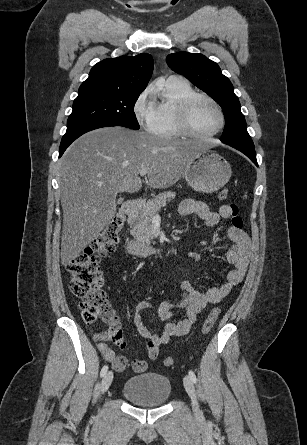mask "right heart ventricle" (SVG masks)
Instances as JSON below:
<instances>
[{"label": "right heart ventricle", "instance_id": "e07e8e85", "mask_svg": "<svg viewBox=\"0 0 307 445\" xmlns=\"http://www.w3.org/2000/svg\"><path fill=\"white\" fill-rule=\"evenodd\" d=\"M192 94L194 90L191 85L180 80H169L154 92L152 107L156 121L153 132L161 136L157 140H185L180 137L185 133L174 115V108Z\"/></svg>", "mask_w": 307, "mask_h": 445}]
</instances>
